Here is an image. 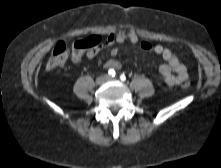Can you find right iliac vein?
I'll return each mask as SVG.
<instances>
[{"label":"right iliac vein","mask_w":221,"mask_h":168,"mask_svg":"<svg viewBox=\"0 0 221 168\" xmlns=\"http://www.w3.org/2000/svg\"><path fill=\"white\" fill-rule=\"evenodd\" d=\"M107 78H108V76H106V75L99 76L96 79V84L97 85H102L105 81H107Z\"/></svg>","instance_id":"right-iliac-vein-1"}]
</instances>
